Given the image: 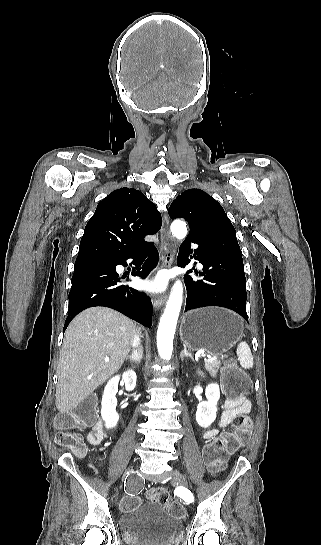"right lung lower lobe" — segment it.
<instances>
[{
    "label": "right lung lower lobe",
    "instance_id": "obj_1",
    "mask_svg": "<svg viewBox=\"0 0 321 545\" xmlns=\"http://www.w3.org/2000/svg\"><path fill=\"white\" fill-rule=\"evenodd\" d=\"M149 255L142 268L133 271V276L146 278L158 263V251L152 243H146L129 255L114 261L89 262L76 265L69 293L68 316L64 329L81 311L93 306L115 309L131 319L150 328L152 324L151 299L143 292L122 285L116 272L117 265L127 266L126 260Z\"/></svg>",
    "mask_w": 321,
    "mask_h": 545
}]
</instances>
